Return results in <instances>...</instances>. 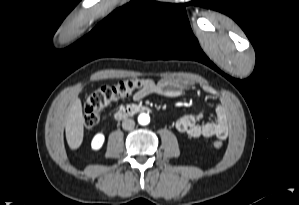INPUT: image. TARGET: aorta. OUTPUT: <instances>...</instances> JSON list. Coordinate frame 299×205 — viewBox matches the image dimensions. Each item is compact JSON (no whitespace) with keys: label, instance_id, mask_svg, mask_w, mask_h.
<instances>
[{"label":"aorta","instance_id":"aorta-1","mask_svg":"<svg viewBox=\"0 0 299 205\" xmlns=\"http://www.w3.org/2000/svg\"><path fill=\"white\" fill-rule=\"evenodd\" d=\"M150 122V116L146 113H141L139 116H138V123L140 125H147L149 124Z\"/></svg>","mask_w":299,"mask_h":205}]
</instances>
